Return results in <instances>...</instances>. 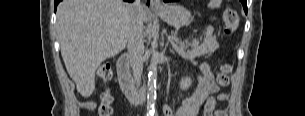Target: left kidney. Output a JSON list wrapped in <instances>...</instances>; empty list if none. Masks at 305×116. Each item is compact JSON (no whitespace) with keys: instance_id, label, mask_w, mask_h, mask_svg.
Instances as JSON below:
<instances>
[{"instance_id":"5707ae66","label":"left kidney","mask_w":305,"mask_h":116,"mask_svg":"<svg viewBox=\"0 0 305 116\" xmlns=\"http://www.w3.org/2000/svg\"><path fill=\"white\" fill-rule=\"evenodd\" d=\"M192 80L190 77H184L180 81V89L187 90L191 86Z\"/></svg>"}]
</instances>
